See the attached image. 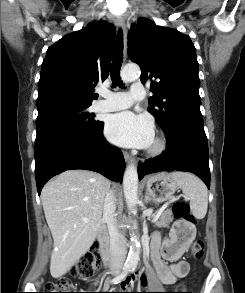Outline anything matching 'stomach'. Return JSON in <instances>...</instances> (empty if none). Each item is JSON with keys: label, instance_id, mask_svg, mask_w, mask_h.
Returning a JSON list of instances; mask_svg holds the SVG:
<instances>
[{"label": "stomach", "instance_id": "stomach-1", "mask_svg": "<svg viewBox=\"0 0 245 293\" xmlns=\"http://www.w3.org/2000/svg\"><path fill=\"white\" fill-rule=\"evenodd\" d=\"M176 190L177 186L166 173H158L149 176L146 180V194L149 195L155 203H162L169 200ZM183 229L190 232V236L185 242V244L188 245L194 239L196 230L192 226L188 228L184 227Z\"/></svg>", "mask_w": 245, "mask_h": 293}]
</instances>
